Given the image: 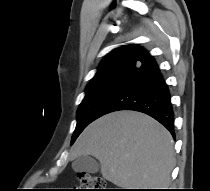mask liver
<instances>
[{
    "mask_svg": "<svg viewBox=\"0 0 210 191\" xmlns=\"http://www.w3.org/2000/svg\"><path fill=\"white\" fill-rule=\"evenodd\" d=\"M92 155L102 176L123 189L169 187L175 164L169 131L150 116L117 111L92 122L70 151V160Z\"/></svg>",
    "mask_w": 210,
    "mask_h": 191,
    "instance_id": "1",
    "label": "liver"
}]
</instances>
